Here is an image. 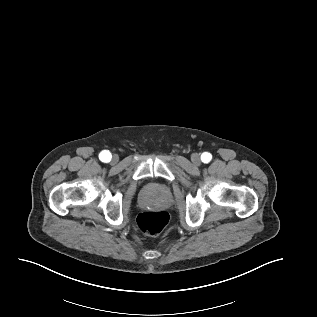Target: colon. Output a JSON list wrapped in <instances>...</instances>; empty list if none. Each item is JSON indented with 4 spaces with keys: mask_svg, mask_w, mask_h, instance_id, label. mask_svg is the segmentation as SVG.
<instances>
[{
    "mask_svg": "<svg viewBox=\"0 0 317 317\" xmlns=\"http://www.w3.org/2000/svg\"><path fill=\"white\" fill-rule=\"evenodd\" d=\"M169 221L168 213L162 210L145 211L138 215L137 225L146 235L156 236L163 231Z\"/></svg>",
    "mask_w": 317,
    "mask_h": 317,
    "instance_id": "colon-1",
    "label": "colon"
}]
</instances>
